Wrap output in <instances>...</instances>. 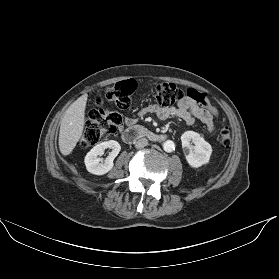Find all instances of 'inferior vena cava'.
I'll return each mask as SVG.
<instances>
[{"mask_svg": "<svg viewBox=\"0 0 279 279\" xmlns=\"http://www.w3.org/2000/svg\"><path fill=\"white\" fill-rule=\"evenodd\" d=\"M148 145V140L146 138H140L135 142V147L138 149L144 148Z\"/></svg>", "mask_w": 279, "mask_h": 279, "instance_id": "1", "label": "inferior vena cava"}]
</instances>
